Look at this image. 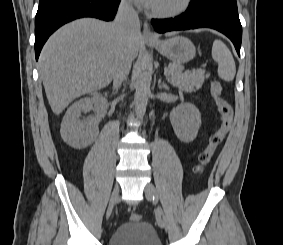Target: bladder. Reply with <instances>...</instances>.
<instances>
[{
    "mask_svg": "<svg viewBox=\"0 0 283 245\" xmlns=\"http://www.w3.org/2000/svg\"><path fill=\"white\" fill-rule=\"evenodd\" d=\"M108 245H162L155 228L148 222H126L110 235Z\"/></svg>",
    "mask_w": 283,
    "mask_h": 245,
    "instance_id": "1",
    "label": "bladder"
}]
</instances>
